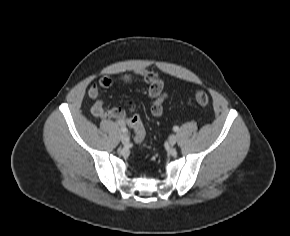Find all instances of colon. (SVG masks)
<instances>
[{
	"instance_id": "1",
	"label": "colon",
	"mask_w": 290,
	"mask_h": 236,
	"mask_svg": "<svg viewBox=\"0 0 290 236\" xmlns=\"http://www.w3.org/2000/svg\"><path fill=\"white\" fill-rule=\"evenodd\" d=\"M195 101L200 106H206L209 103V96L204 90H198L195 93ZM128 105L130 106V110H132V103L129 102ZM129 123L133 129L134 133V140L136 142H141L144 140L146 136L145 128L140 120V117L137 114H132L129 117Z\"/></svg>"
}]
</instances>
